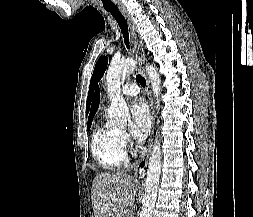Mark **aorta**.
<instances>
[{"instance_id": "obj_1", "label": "aorta", "mask_w": 253, "mask_h": 217, "mask_svg": "<svg viewBox=\"0 0 253 217\" xmlns=\"http://www.w3.org/2000/svg\"><path fill=\"white\" fill-rule=\"evenodd\" d=\"M136 63L133 59H125L120 62H112L107 75L106 85L108 96L110 97L109 119L112 125L124 127L130 118L128 106L121 95V84L135 69ZM146 72L149 76L154 96L159 106V95L161 91V80L157 70L152 65L146 66ZM159 122V121H158ZM160 139L156 134L155 143L150 156L146 180L145 195L143 197V206L140 217H152L153 209L158 195V186L161 173V147Z\"/></svg>"}]
</instances>
